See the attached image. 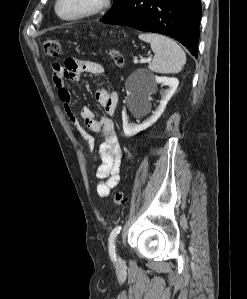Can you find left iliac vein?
<instances>
[{
	"label": "left iliac vein",
	"mask_w": 247,
	"mask_h": 299,
	"mask_svg": "<svg viewBox=\"0 0 247 299\" xmlns=\"http://www.w3.org/2000/svg\"><path fill=\"white\" fill-rule=\"evenodd\" d=\"M116 259H117V262H120V257L119 256H117Z\"/></svg>",
	"instance_id": "4c4485c4"
}]
</instances>
